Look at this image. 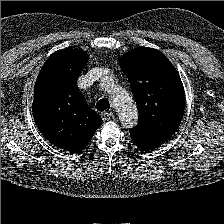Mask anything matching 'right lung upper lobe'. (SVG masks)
Instances as JSON below:
<instances>
[{
	"label": "right lung upper lobe",
	"instance_id": "cb5924a9",
	"mask_svg": "<svg viewBox=\"0 0 224 224\" xmlns=\"http://www.w3.org/2000/svg\"><path fill=\"white\" fill-rule=\"evenodd\" d=\"M87 60L84 51L59 50L47 59L34 86L32 110L40 132L72 153L84 149L102 124L75 84Z\"/></svg>",
	"mask_w": 224,
	"mask_h": 224
}]
</instances>
